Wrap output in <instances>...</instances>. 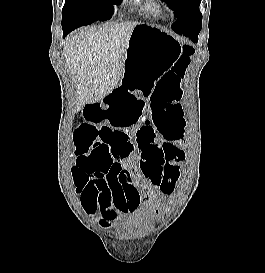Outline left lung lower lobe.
Listing matches in <instances>:
<instances>
[{
	"label": "left lung lower lobe",
	"instance_id": "left-lung-lower-lobe-1",
	"mask_svg": "<svg viewBox=\"0 0 265 273\" xmlns=\"http://www.w3.org/2000/svg\"><path fill=\"white\" fill-rule=\"evenodd\" d=\"M201 25L202 17L194 14L183 18L178 24L172 25V29L178 34L189 37L193 42H197Z\"/></svg>",
	"mask_w": 265,
	"mask_h": 273
}]
</instances>
